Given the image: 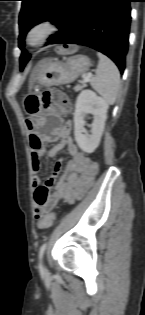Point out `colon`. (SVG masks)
<instances>
[{
    "instance_id": "5ec220e1",
    "label": "colon",
    "mask_w": 145,
    "mask_h": 315,
    "mask_svg": "<svg viewBox=\"0 0 145 315\" xmlns=\"http://www.w3.org/2000/svg\"><path fill=\"white\" fill-rule=\"evenodd\" d=\"M76 50L75 46L66 44L60 48V52L64 54H72ZM42 102L45 107L53 105L61 111H67L70 109V102L68 97L60 90H51L44 93ZM55 220V214L49 213L41 218L38 225L40 228L45 229L50 227Z\"/></svg>"
}]
</instances>
